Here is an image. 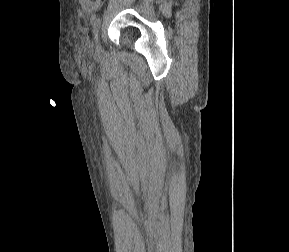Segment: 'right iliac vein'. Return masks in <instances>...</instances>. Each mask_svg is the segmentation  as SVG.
Instances as JSON below:
<instances>
[{
    "instance_id": "1",
    "label": "right iliac vein",
    "mask_w": 289,
    "mask_h": 252,
    "mask_svg": "<svg viewBox=\"0 0 289 252\" xmlns=\"http://www.w3.org/2000/svg\"><path fill=\"white\" fill-rule=\"evenodd\" d=\"M101 50V47H100V44H99V41L97 42L96 44V52L99 53Z\"/></svg>"
}]
</instances>
